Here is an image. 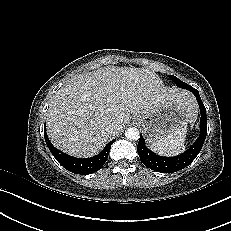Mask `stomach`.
<instances>
[{
    "instance_id": "obj_1",
    "label": "stomach",
    "mask_w": 231,
    "mask_h": 231,
    "mask_svg": "<svg viewBox=\"0 0 231 231\" xmlns=\"http://www.w3.org/2000/svg\"><path fill=\"white\" fill-rule=\"evenodd\" d=\"M133 119L141 125L146 141L151 144L186 127L189 113L182 104L166 102L148 113L135 114Z\"/></svg>"
}]
</instances>
